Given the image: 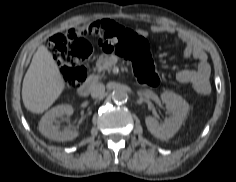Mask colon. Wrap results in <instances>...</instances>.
I'll use <instances>...</instances> for the list:
<instances>
[{"label": "colon", "mask_w": 236, "mask_h": 182, "mask_svg": "<svg viewBox=\"0 0 236 182\" xmlns=\"http://www.w3.org/2000/svg\"><path fill=\"white\" fill-rule=\"evenodd\" d=\"M99 37L101 44L131 62L138 81L146 86L159 84V73L152 59L147 40L134 31L110 20H103L58 33L47 41V48L56 59L66 88L81 85L87 76L85 62L92 53L88 37Z\"/></svg>", "instance_id": "5ec220e1"}]
</instances>
